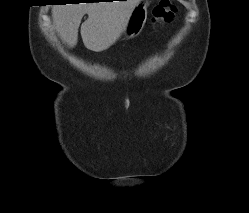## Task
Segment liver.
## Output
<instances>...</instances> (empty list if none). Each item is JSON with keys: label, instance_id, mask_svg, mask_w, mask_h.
<instances>
[{"label": "liver", "instance_id": "1", "mask_svg": "<svg viewBox=\"0 0 249 213\" xmlns=\"http://www.w3.org/2000/svg\"><path fill=\"white\" fill-rule=\"evenodd\" d=\"M141 0L61 4L52 7L53 23L64 43L74 47L81 25L84 46L94 52L110 48L120 37L134 6Z\"/></svg>", "mask_w": 249, "mask_h": 213}]
</instances>
